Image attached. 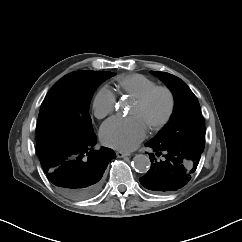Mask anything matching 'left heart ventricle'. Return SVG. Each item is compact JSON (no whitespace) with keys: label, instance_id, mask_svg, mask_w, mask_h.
<instances>
[{"label":"left heart ventricle","instance_id":"left-heart-ventricle-1","mask_svg":"<svg viewBox=\"0 0 242 242\" xmlns=\"http://www.w3.org/2000/svg\"><path fill=\"white\" fill-rule=\"evenodd\" d=\"M169 100L164 92L154 94L145 104H130L129 112L148 129L164 118L168 111Z\"/></svg>","mask_w":242,"mask_h":242}]
</instances>
